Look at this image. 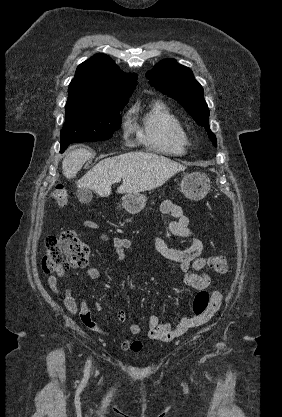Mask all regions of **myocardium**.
I'll return each mask as SVG.
<instances>
[{
	"instance_id": "myocardium-1",
	"label": "myocardium",
	"mask_w": 282,
	"mask_h": 417,
	"mask_svg": "<svg viewBox=\"0 0 282 417\" xmlns=\"http://www.w3.org/2000/svg\"><path fill=\"white\" fill-rule=\"evenodd\" d=\"M181 143H182L183 145H186V144H187V139L182 137Z\"/></svg>"
}]
</instances>
